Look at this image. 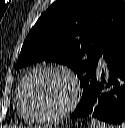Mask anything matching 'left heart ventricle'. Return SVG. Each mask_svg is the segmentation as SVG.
Instances as JSON below:
<instances>
[{
    "mask_svg": "<svg viewBox=\"0 0 125 128\" xmlns=\"http://www.w3.org/2000/svg\"><path fill=\"white\" fill-rule=\"evenodd\" d=\"M73 94L69 80L60 73L40 71L34 74L26 87V100L37 114H52L63 109Z\"/></svg>",
    "mask_w": 125,
    "mask_h": 128,
    "instance_id": "left-heart-ventricle-1",
    "label": "left heart ventricle"
}]
</instances>
